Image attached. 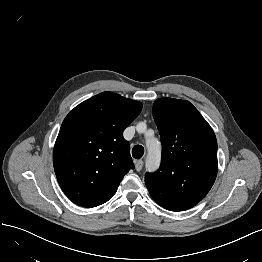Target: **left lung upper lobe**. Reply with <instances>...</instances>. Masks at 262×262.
<instances>
[{
	"label": "left lung upper lobe",
	"instance_id": "left-lung-upper-lobe-1",
	"mask_svg": "<svg viewBox=\"0 0 262 262\" xmlns=\"http://www.w3.org/2000/svg\"><path fill=\"white\" fill-rule=\"evenodd\" d=\"M153 116L162 142V161L145 183L152 198L170 211L195 206L217 175V140L210 125L186 100L159 98Z\"/></svg>",
	"mask_w": 262,
	"mask_h": 262
}]
</instances>
